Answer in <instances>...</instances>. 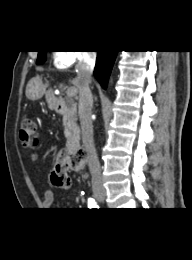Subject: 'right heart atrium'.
I'll return each mask as SVG.
<instances>
[{
	"instance_id": "1",
	"label": "right heart atrium",
	"mask_w": 192,
	"mask_h": 260,
	"mask_svg": "<svg viewBox=\"0 0 192 260\" xmlns=\"http://www.w3.org/2000/svg\"><path fill=\"white\" fill-rule=\"evenodd\" d=\"M87 58L86 53L63 50L55 54V64L61 68H69Z\"/></svg>"
}]
</instances>
